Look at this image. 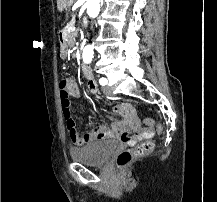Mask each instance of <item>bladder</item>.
Here are the masks:
<instances>
[{
  "label": "bladder",
  "instance_id": "31cf9c89",
  "mask_svg": "<svg viewBox=\"0 0 217 202\" xmlns=\"http://www.w3.org/2000/svg\"><path fill=\"white\" fill-rule=\"evenodd\" d=\"M118 146L119 144L114 140L91 143L81 149H72L71 157L87 165L103 164L118 149Z\"/></svg>",
  "mask_w": 217,
  "mask_h": 202
}]
</instances>
